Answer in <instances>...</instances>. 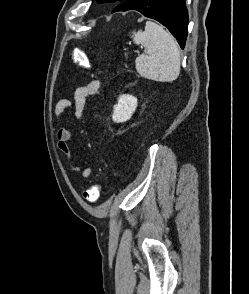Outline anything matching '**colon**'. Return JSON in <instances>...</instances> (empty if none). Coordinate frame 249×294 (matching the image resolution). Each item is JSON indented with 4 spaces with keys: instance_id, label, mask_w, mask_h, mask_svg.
<instances>
[{
    "instance_id": "1",
    "label": "colon",
    "mask_w": 249,
    "mask_h": 294,
    "mask_svg": "<svg viewBox=\"0 0 249 294\" xmlns=\"http://www.w3.org/2000/svg\"><path fill=\"white\" fill-rule=\"evenodd\" d=\"M70 58L72 62L82 68H90L91 63L86 53L78 48L71 49ZM101 187L99 184H92L83 192V198L87 202H95L100 196Z\"/></svg>"
}]
</instances>
